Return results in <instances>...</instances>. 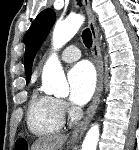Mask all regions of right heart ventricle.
I'll return each instance as SVG.
<instances>
[{
	"mask_svg": "<svg viewBox=\"0 0 139 150\" xmlns=\"http://www.w3.org/2000/svg\"><path fill=\"white\" fill-rule=\"evenodd\" d=\"M63 124L64 114L60 101L34 89L27 109L29 130L36 135H47L58 132Z\"/></svg>",
	"mask_w": 139,
	"mask_h": 150,
	"instance_id": "e07e8e85",
	"label": "right heart ventricle"
}]
</instances>
